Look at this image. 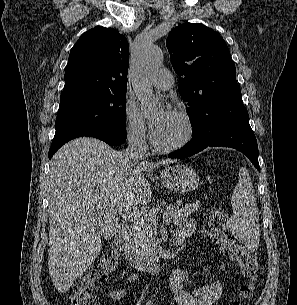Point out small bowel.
Wrapping results in <instances>:
<instances>
[{
  "label": "small bowel",
  "instance_id": "1",
  "mask_svg": "<svg viewBox=\"0 0 297 305\" xmlns=\"http://www.w3.org/2000/svg\"><path fill=\"white\" fill-rule=\"evenodd\" d=\"M194 227V221L188 220L178 230H189L191 234ZM187 281V273L182 268L174 270L168 278L169 288L174 294V299L178 305H214L222 296L224 289L222 281H215L192 289L187 287ZM106 296L112 300H120L127 296V291L124 289H112L106 292Z\"/></svg>",
  "mask_w": 297,
  "mask_h": 305
}]
</instances>
